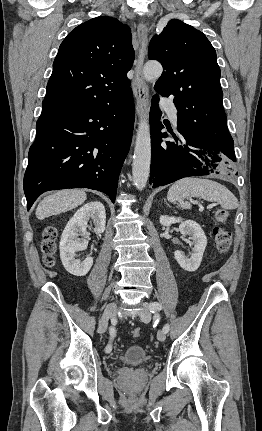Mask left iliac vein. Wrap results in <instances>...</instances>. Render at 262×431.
Here are the masks:
<instances>
[{"label": "left iliac vein", "instance_id": "obj_1", "mask_svg": "<svg viewBox=\"0 0 262 431\" xmlns=\"http://www.w3.org/2000/svg\"><path fill=\"white\" fill-rule=\"evenodd\" d=\"M139 316L143 322H149L151 320V312H150L148 303L146 302L140 303ZM157 338L159 341H162V342L165 341L166 339L165 332L163 330H159L157 333Z\"/></svg>", "mask_w": 262, "mask_h": 431}]
</instances>
